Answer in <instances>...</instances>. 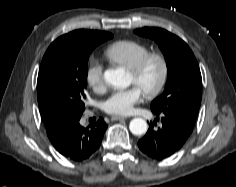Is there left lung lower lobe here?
Here are the masks:
<instances>
[{
	"instance_id": "0a47b994",
	"label": "left lung lower lobe",
	"mask_w": 236,
	"mask_h": 187,
	"mask_svg": "<svg viewBox=\"0 0 236 187\" xmlns=\"http://www.w3.org/2000/svg\"><path fill=\"white\" fill-rule=\"evenodd\" d=\"M161 121L162 127L158 129L153 128L155 122L150 123L146 135L138 141L139 149L153 159H164L179 150L192 133L194 126L170 114H162Z\"/></svg>"
}]
</instances>
